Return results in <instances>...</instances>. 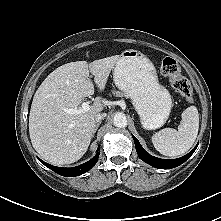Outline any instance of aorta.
I'll return each mask as SVG.
<instances>
[{
  "label": "aorta",
  "mask_w": 221,
  "mask_h": 221,
  "mask_svg": "<svg viewBox=\"0 0 221 221\" xmlns=\"http://www.w3.org/2000/svg\"><path fill=\"white\" fill-rule=\"evenodd\" d=\"M114 126L125 128L127 126V118L124 113H116L113 118Z\"/></svg>",
  "instance_id": "obj_1"
}]
</instances>
